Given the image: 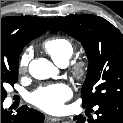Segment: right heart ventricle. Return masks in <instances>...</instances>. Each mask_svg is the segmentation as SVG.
Segmentation results:
<instances>
[{"mask_svg":"<svg viewBox=\"0 0 123 123\" xmlns=\"http://www.w3.org/2000/svg\"><path fill=\"white\" fill-rule=\"evenodd\" d=\"M43 48L58 65L67 64L74 52L72 42L64 37L47 39L43 44Z\"/></svg>","mask_w":123,"mask_h":123,"instance_id":"obj_1","label":"right heart ventricle"}]
</instances>
